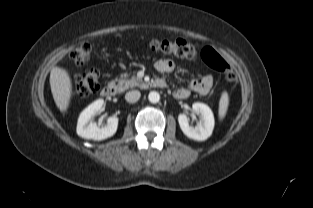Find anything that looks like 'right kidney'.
<instances>
[{
  "label": "right kidney",
  "mask_w": 313,
  "mask_h": 208,
  "mask_svg": "<svg viewBox=\"0 0 313 208\" xmlns=\"http://www.w3.org/2000/svg\"><path fill=\"white\" fill-rule=\"evenodd\" d=\"M103 105L104 100L98 99L81 112L77 123L78 136L84 139L100 141L116 133L118 127V118L116 116L109 117L107 125L102 128L98 127L97 124L93 122V117L103 111Z\"/></svg>",
  "instance_id": "right-kidney-1"
}]
</instances>
